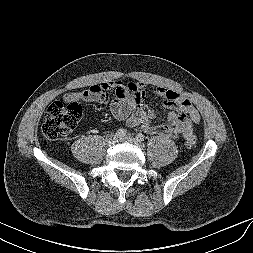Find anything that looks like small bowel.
I'll list each match as a JSON object with an SVG mask.
<instances>
[{
  "instance_id": "c3829d8e",
  "label": "small bowel",
  "mask_w": 253,
  "mask_h": 253,
  "mask_svg": "<svg viewBox=\"0 0 253 253\" xmlns=\"http://www.w3.org/2000/svg\"><path fill=\"white\" fill-rule=\"evenodd\" d=\"M145 86L143 81L124 84L120 80H109L82 91L70 92L65 99L105 104L109 92L114 90L110 110L116 120L124 121L129 127L140 126L149 134H162L174 139L180 135L184 139L193 135V125L200 122V115L191 101L175 90L154 87L153 92L164 100V107L168 110L166 122L155 125L151 122L155 113L146 103Z\"/></svg>"
}]
</instances>
